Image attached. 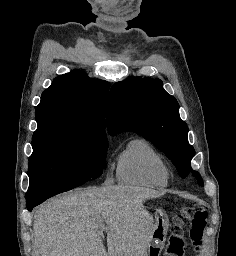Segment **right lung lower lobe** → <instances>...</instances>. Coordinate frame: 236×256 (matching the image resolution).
Segmentation results:
<instances>
[{
  "label": "right lung lower lobe",
  "mask_w": 236,
  "mask_h": 256,
  "mask_svg": "<svg viewBox=\"0 0 236 256\" xmlns=\"http://www.w3.org/2000/svg\"><path fill=\"white\" fill-rule=\"evenodd\" d=\"M82 184L83 183L77 184V185H74V186H71V187H67V188H64V189H60V190H57V191H54V192H50L48 194H45V195H42V196H39V197H36V198L28 199L27 203H26L27 209L29 211H31L35 206L39 205L40 203H42L46 199H48V198H50V197H52V196H54L56 194H59V193L68 191V190H70L72 188L78 187V186H80Z\"/></svg>",
  "instance_id": "1"
}]
</instances>
